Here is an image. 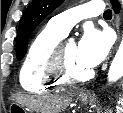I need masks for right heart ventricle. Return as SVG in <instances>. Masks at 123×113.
I'll list each match as a JSON object with an SVG mask.
<instances>
[{
  "mask_svg": "<svg viewBox=\"0 0 123 113\" xmlns=\"http://www.w3.org/2000/svg\"><path fill=\"white\" fill-rule=\"evenodd\" d=\"M64 34L47 26L31 42L26 57L20 68L21 86L28 92L43 94L64 85L48 70L49 61L57 44Z\"/></svg>",
  "mask_w": 123,
  "mask_h": 113,
  "instance_id": "obj_1",
  "label": "right heart ventricle"
}]
</instances>
